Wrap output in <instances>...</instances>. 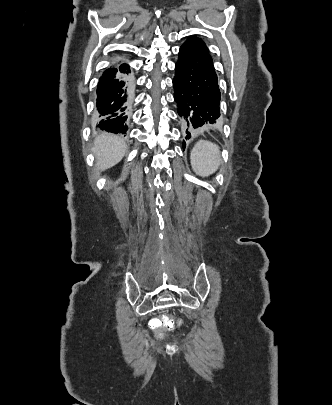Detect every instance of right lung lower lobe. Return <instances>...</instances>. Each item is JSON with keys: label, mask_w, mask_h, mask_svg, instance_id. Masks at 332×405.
Masks as SVG:
<instances>
[{"label": "right lung lower lobe", "mask_w": 332, "mask_h": 405, "mask_svg": "<svg viewBox=\"0 0 332 405\" xmlns=\"http://www.w3.org/2000/svg\"><path fill=\"white\" fill-rule=\"evenodd\" d=\"M134 89V78L126 63L108 68L102 74L96 91L97 110L104 117L98 124L102 130L126 133Z\"/></svg>", "instance_id": "1"}]
</instances>
